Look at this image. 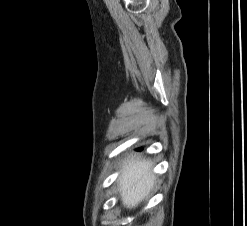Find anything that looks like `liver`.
Instances as JSON below:
<instances>
[{
    "instance_id": "obj_1",
    "label": "liver",
    "mask_w": 247,
    "mask_h": 226,
    "mask_svg": "<svg viewBox=\"0 0 247 226\" xmlns=\"http://www.w3.org/2000/svg\"><path fill=\"white\" fill-rule=\"evenodd\" d=\"M123 173L118 179L121 200L127 208L136 207L148 197L155 178L150 175L152 163L148 159H127L122 165Z\"/></svg>"
}]
</instances>
